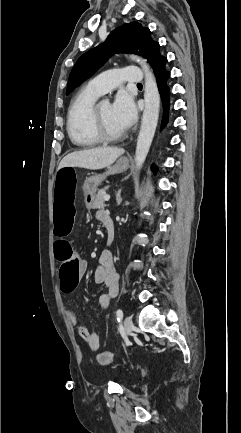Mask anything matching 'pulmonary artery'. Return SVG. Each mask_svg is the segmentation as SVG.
Returning <instances> with one entry per match:
<instances>
[{
    "mask_svg": "<svg viewBox=\"0 0 241 433\" xmlns=\"http://www.w3.org/2000/svg\"><path fill=\"white\" fill-rule=\"evenodd\" d=\"M142 81L143 73L139 66H124L95 76L87 82L85 87L89 91L101 96L124 83L138 84Z\"/></svg>",
    "mask_w": 241,
    "mask_h": 433,
    "instance_id": "e3ab8cb5",
    "label": "pulmonary artery"
}]
</instances>
